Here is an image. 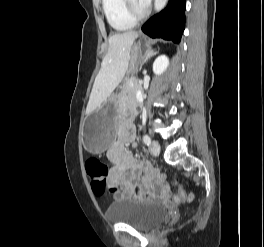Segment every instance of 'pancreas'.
Segmentation results:
<instances>
[{
	"instance_id": "1",
	"label": "pancreas",
	"mask_w": 264,
	"mask_h": 247,
	"mask_svg": "<svg viewBox=\"0 0 264 247\" xmlns=\"http://www.w3.org/2000/svg\"><path fill=\"white\" fill-rule=\"evenodd\" d=\"M140 88L138 80L135 77H130L126 80L121 99L123 102H132L136 104V90Z\"/></svg>"
}]
</instances>
